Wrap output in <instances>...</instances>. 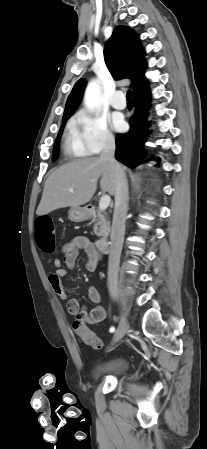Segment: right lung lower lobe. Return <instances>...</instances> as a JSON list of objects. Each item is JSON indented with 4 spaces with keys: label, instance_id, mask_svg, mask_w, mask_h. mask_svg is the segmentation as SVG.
I'll list each match as a JSON object with an SVG mask.
<instances>
[{
    "label": "right lung lower lobe",
    "instance_id": "obj_1",
    "mask_svg": "<svg viewBox=\"0 0 207 449\" xmlns=\"http://www.w3.org/2000/svg\"><path fill=\"white\" fill-rule=\"evenodd\" d=\"M149 101L148 87L134 94L135 113L130 118V130L125 134H117L116 137L115 157L131 168L141 163L144 155V143L150 126L147 119Z\"/></svg>",
    "mask_w": 207,
    "mask_h": 449
}]
</instances>
